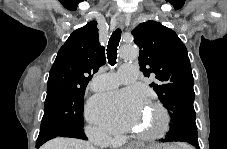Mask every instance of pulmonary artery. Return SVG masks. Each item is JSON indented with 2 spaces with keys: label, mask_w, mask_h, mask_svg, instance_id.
<instances>
[{
  "label": "pulmonary artery",
  "mask_w": 227,
  "mask_h": 149,
  "mask_svg": "<svg viewBox=\"0 0 227 149\" xmlns=\"http://www.w3.org/2000/svg\"><path fill=\"white\" fill-rule=\"evenodd\" d=\"M137 77L135 64L122 65L117 73H105L97 75L92 81V88L97 91L117 87L120 83H134Z\"/></svg>",
  "instance_id": "obj_1"
}]
</instances>
